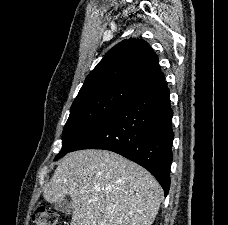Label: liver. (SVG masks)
Wrapping results in <instances>:
<instances>
[{"mask_svg":"<svg viewBox=\"0 0 228 225\" xmlns=\"http://www.w3.org/2000/svg\"><path fill=\"white\" fill-rule=\"evenodd\" d=\"M43 195L47 203L70 195V225H153L163 201L146 169L101 149L68 153Z\"/></svg>","mask_w":228,"mask_h":225,"instance_id":"liver-1","label":"liver"}]
</instances>
